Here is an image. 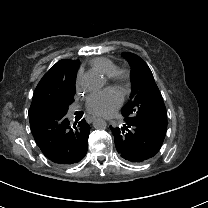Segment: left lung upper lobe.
<instances>
[{"mask_svg":"<svg viewBox=\"0 0 208 208\" xmlns=\"http://www.w3.org/2000/svg\"><path fill=\"white\" fill-rule=\"evenodd\" d=\"M122 56L127 59L133 69L132 93L130 100L122 108V115L148 123L166 132V108L150 68L136 54L127 52Z\"/></svg>","mask_w":208,"mask_h":208,"instance_id":"1","label":"left lung upper lobe"}]
</instances>
